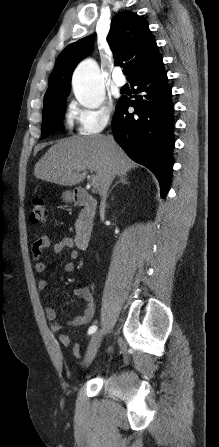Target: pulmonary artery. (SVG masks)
I'll return each instance as SVG.
<instances>
[{
	"label": "pulmonary artery",
	"mask_w": 219,
	"mask_h": 447,
	"mask_svg": "<svg viewBox=\"0 0 219 447\" xmlns=\"http://www.w3.org/2000/svg\"><path fill=\"white\" fill-rule=\"evenodd\" d=\"M113 82L117 87H122L125 84V78L121 73L120 68H116L113 73Z\"/></svg>",
	"instance_id": "obj_1"
}]
</instances>
